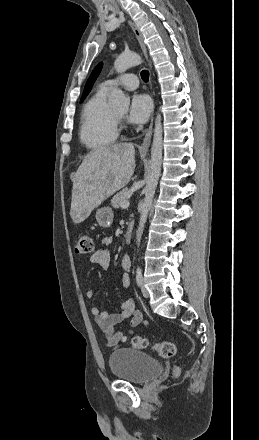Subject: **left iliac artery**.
<instances>
[{"label":"left iliac artery","instance_id":"left-iliac-artery-1","mask_svg":"<svg viewBox=\"0 0 259 440\" xmlns=\"http://www.w3.org/2000/svg\"><path fill=\"white\" fill-rule=\"evenodd\" d=\"M136 281L138 285H141L142 283V271L140 267H137L136 269Z\"/></svg>","mask_w":259,"mask_h":440}]
</instances>
